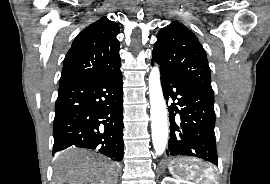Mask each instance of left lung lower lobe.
<instances>
[{"mask_svg": "<svg viewBox=\"0 0 270 184\" xmlns=\"http://www.w3.org/2000/svg\"><path fill=\"white\" fill-rule=\"evenodd\" d=\"M160 66L164 98L169 106L168 156H191L218 165L214 96L185 74Z\"/></svg>", "mask_w": 270, "mask_h": 184, "instance_id": "left-lung-lower-lobe-1", "label": "left lung lower lobe"}]
</instances>
